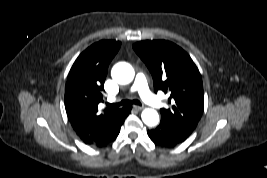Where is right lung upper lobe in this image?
<instances>
[{"label": "right lung upper lobe", "mask_w": 267, "mask_h": 178, "mask_svg": "<svg viewBox=\"0 0 267 178\" xmlns=\"http://www.w3.org/2000/svg\"><path fill=\"white\" fill-rule=\"evenodd\" d=\"M121 42L102 40L82 52L74 62L65 87V108L68 119L81 138L114 121L122 108H109L102 113L103 88L108 66L118 52Z\"/></svg>", "instance_id": "1"}]
</instances>
